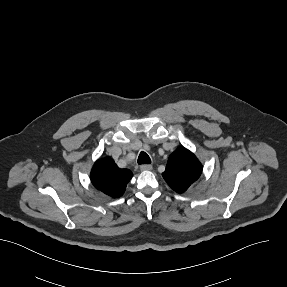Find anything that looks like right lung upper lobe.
I'll use <instances>...</instances> for the list:
<instances>
[{"label":"right lung upper lobe","instance_id":"cb5924a9","mask_svg":"<svg viewBox=\"0 0 287 287\" xmlns=\"http://www.w3.org/2000/svg\"><path fill=\"white\" fill-rule=\"evenodd\" d=\"M132 178L128 169H120L110 157L97 160L91 170L92 184L103 193L118 198Z\"/></svg>","mask_w":287,"mask_h":287}]
</instances>
